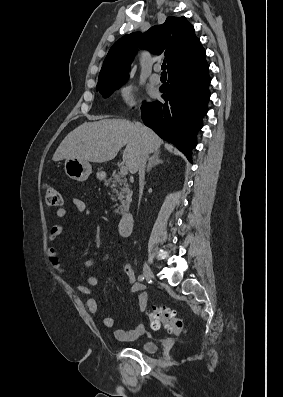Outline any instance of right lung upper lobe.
I'll use <instances>...</instances> for the list:
<instances>
[{
	"instance_id": "1",
	"label": "right lung upper lobe",
	"mask_w": 283,
	"mask_h": 397,
	"mask_svg": "<svg viewBox=\"0 0 283 397\" xmlns=\"http://www.w3.org/2000/svg\"><path fill=\"white\" fill-rule=\"evenodd\" d=\"M138 46L158 55L163 53L168 63V73L205 57V50L187 19L167 17L163 24L153 26L143 37L135 32L116 41L104 60L99 81L127 78Z\"/></svg>"
}]
</instances>
